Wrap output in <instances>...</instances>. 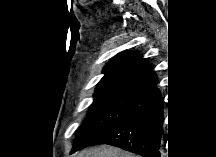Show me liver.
<instances>
[{
  "label": "liver",
  "instance_id": "1",
  "mask_svg": "<svg viewBox=\"0 0 216 157\" xmlns=\"http://www.w3.org/2000/svg\"><path fill=\"white\" fill-rule=\"evenodd\" d=\"M78 157H136L135 154L125 152L119 148L101 145L96 148L84 150Z\"/></svg>",
  "mask_w": 216,
  "mask_h": 157
}]
</instances>
